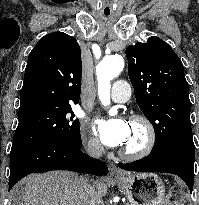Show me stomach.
<instances>
[{"instance_id": "1", "label": "stomach", "mask_w": 199, "mask_h": 205, "mask_svg": "<svg viewBox=\"0 0 199 205\" xmlns=\"http://www.w3.org/2000/svg\"><path fill=\"white\" fill-rule=\"evenodd\" d=\"M115 182L125 192L131 205H160L165 197V186L155 173L123 175Z\"/></svg>"}]
</instances>
